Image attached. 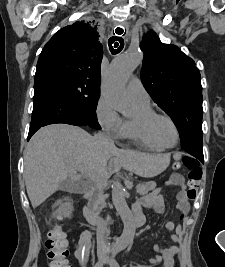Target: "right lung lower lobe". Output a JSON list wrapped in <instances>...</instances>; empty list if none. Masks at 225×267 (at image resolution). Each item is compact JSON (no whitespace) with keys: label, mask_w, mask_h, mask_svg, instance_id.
<instances>
[{"label":"right lung lower lobe","mask_w":225,"mask_h":267,"mask_svg":"<svg viewBox=\"0 0 225 267\" xmlns=\"http://www.w3.org/2000/svg\"><path fill=\"white\" fill-rule=\"evenodd\" d=\"M33 112L27 140L42 126L65 123L75 126H89L81 113L55 84L45 77L35 78Z\"/></svg>","instance_id":"right-lung-lower-lobe-1"}]
</instances>
